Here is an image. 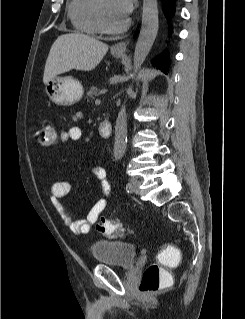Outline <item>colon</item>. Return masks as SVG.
Here are the masks:
<instances>
[{"mask_svg":"<svg viewBox=\"0 0 245 319\" xmlns=\"http://www.w3.org/2000/svg\"><path fill=\"white\" fill-rule=\"evenodd\" d=\"M35 137L41 146H50L55 142L56 132L49 126H39L35 130ZM97 231L111 238H125L128 230L121 223L112 219H102L96 225ZM181 260L178 251L166 249L159 253L158 261L162 264H172ZM169 284L166 272L158 264L149 265L140 283V292L143 294H154Z\"/></svg>","mask_w":245,"mask_h":319,"instance_id":"obj_1","label":"colon"}]
</instances>
